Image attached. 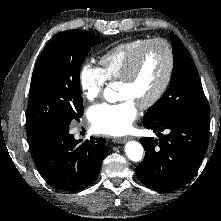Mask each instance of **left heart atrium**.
Here are the masks:
<instances>
[{
  "label": "left heart atrium",
  "mask_w": 221,
  "mask_h": 221,
  "mask_svg": "<svg viewBox=\"0 0 221 221\" xmlns=\"http://www.w3.org/2000/svg\"><path fill=\"white\" fill-rule=\"evenodd\" d=\"M138 105L129 98L109 104L101 103L89 109L88 116L94 130L118 136L127 133L138 116Z\"/></svg>",
  "instance_id": "39dd6f15"
}]
</instances>
